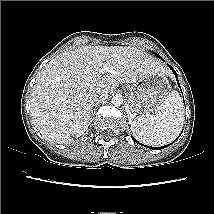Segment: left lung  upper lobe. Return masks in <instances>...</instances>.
Instances as JSON below:
<instances>
[{
    "instance_id": "obj_1",
    "label": "left lung upper lobe",
    "mask_w": 214,
    "mask_h": 214,
    "mask_svg": "<svg viewBox=\"0 0 214 214\" xmlns=\"http://www.w3.org/2000/svg\"><path fill=\"white\" fill-rule=\"evenodd\" d=\"M156 56L160 58V56H159V55H157V54H156Z\"/></svg>"
}]
</instances>
